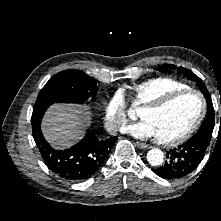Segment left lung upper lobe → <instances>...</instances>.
<instances>
[{"instance_id": "left-lung-upper-lobe-1", "label": "left lung upper lobe", "mask_w": 221, "mask_h": 221, "mask_svg": "<svg viewBox=\"0 0 221 221\" xmlns=\"http://www.w3.org/2000/svg\"><path fill=\"white\" fill-rule=\"evenodd\" d=\"M168 68H169V66H163V67H159L157 69L162 71V70H166ZM179 69L190 80H193L197 83V86L199 87V89L202 91V93L204 94V96L206 98L207 105H208L207 115H206V118L204 119L201 127L199 128L197 134H202L204 136L209 137V141H210L211 136H212V132H213V128H214V108H213L212 100H211V97L208 93V90H207L206 86L204 85V83H202L201 79L198 76H196L192 71H190L186 68H183V67H180Z\"/></svg>"}]
</instances>
